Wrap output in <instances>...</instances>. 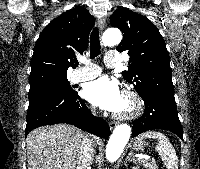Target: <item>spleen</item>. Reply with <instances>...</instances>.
I'll use <instances>...</instances> for the list:
<instances>
[{
    "instance_id": "obj_1",
    "label": "spleen",
    "mask_w": 200,
    "mask_h": 169,
    "mask_svg": "<svg viewBox=\"0 0 200 169\" xmlns=\"http://www.w3.org/2000/svg\"><path fill=\"white\" fill-rule=\"evenodd\" d=\"M141 138H152L158 141L156 151L165 163L167 169H178V157L170 141L160 132L148 131L140 135Z\"/></svg>"
}]
</instances>
